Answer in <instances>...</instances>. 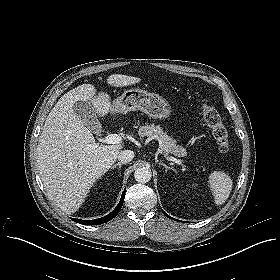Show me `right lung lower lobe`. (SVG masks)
I'll return each instance as SVG.
<instances>
[{"label":"right lung lower lobe","instance_id":"1","mask_svg":"<svg viewBox=\"0 0 280 280\" xmlns=\"http://www.w3.org/2000/svg\"><path fill=\"white\" fill-rule=\"evenodd\" d=\"M124 197H125V190L123 191L121 199H120L118 205L116 206V208L111 213H109L108 215H106L102 218L88 220V221L81 220V219H72V220L77 223L84 224V225H99V224L108 222V221L112 220L119 213V211L123 205V202H124Z\"/></svg>","mask_w":280,"mask_h":280}]
</instances>
